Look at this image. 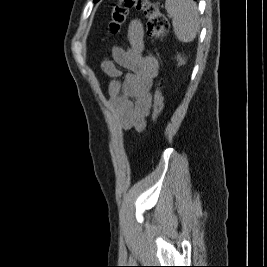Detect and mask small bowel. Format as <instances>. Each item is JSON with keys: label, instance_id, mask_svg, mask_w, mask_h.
<instances>
[{"label": "small bowel", "instance_id": "c3829d8e", "mask_svg": "<svg viewBox=\"0 0 267 267\" xmlns=\"http://www.w3.org/2000/svg\"><path fill=\"white\" fill-rule=\"evenodd\" d=\"M127 37L128 45L114 47L112 59H104L101 68L112 78L108 102L116 121L125 130L142 131L151 108L150 89L158 75L159 63L154 55L146 53L141 21L130 23ZM122 69L128 72L124 74Z\"/></svg>", "mask_w": 267, "mask_h": 267}]
</instances>
